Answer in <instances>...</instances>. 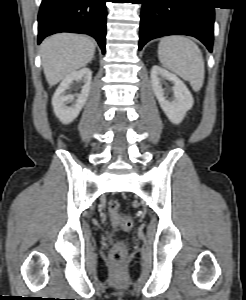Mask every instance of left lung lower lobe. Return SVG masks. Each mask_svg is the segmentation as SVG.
I'll return each instance as SVG.
<instances>
[{"instance_id": "left-lung-lower-lobe-1", "label": "left lung lower lobe", "mask_w": 246, "mask_h": 300, "mask_svg": "<svg viewBox=\"0 0 246 300\" xmlns=\"http://www.w3.org/2000/svg\"><path fill=\"white\" fill-rule=\"evenodd\" d=\"M139 50L150 40L183 34L196 37L212 52L214 7L210 0H140Z\"/></svg>"}]
</instances>
